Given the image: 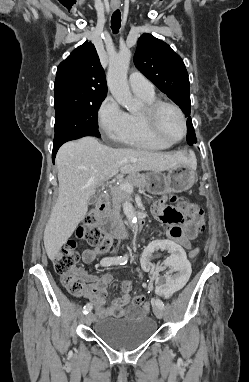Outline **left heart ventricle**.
<instances>
[{"label":"left heart ventricle","mask_w":249,"mask_h":382,"mask_svg":"<svg viewBox=\"0 0 249 382\" xmlns=\"http://www.w3.org/2000/svg\"><path fill=\"white\" fill-rule=\"evenodd\" d=\"M158 124L163 134L171 139H178L183 134L182 121L177 112L170 107L160 110Z\"/></svg>","instance_id":"1"}]
</instances>
